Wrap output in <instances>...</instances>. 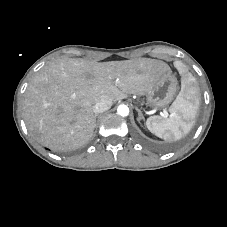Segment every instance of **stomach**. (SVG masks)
Listing matches in <instances>:
<instances>
[{
  "mask_svg": "<svg viewBox=\"0 0 227 227\" xmlns=\"http://www.w3.org/2000/svg\"><path fill=\"white\" fill-rule=\"evenodd\" d=\"M177 92V79L171 73H166L148 92L147 104L154 109L164 108L174 100Z\"/></svg>",
  "mask_w": 227,
  "mask_h": 227,
  "instance_id": "0dacf381",
  "label": "stomach"
}]
</instances>
